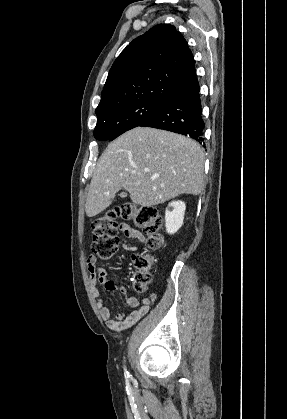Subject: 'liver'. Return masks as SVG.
I'll use <instances>...</instances> for the list:
<instances>
[{"instance_id": "6515ba94", "label": "liver", "mask_w": 287, "mask_h": 419, "mask_svg": "<svg viewBox=\"0 0 287 419\" xmlns=\"http://www.w3.org/2000/svg\"><path fill=\"white\" fill-rule=\"evenodd\" d=\"M205 155L194 140L173 132L137 127L108 144L90 182L85 211L93 217L120 189L133 203L151 207L204 190Z\"/></svg>"}]
</instances>
